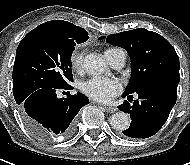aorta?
Instances as JSON below:
<instances>
[{
	"label": "aorta",
	"instance_id": "obj_1",
	"mask_svg": "<svg viewBox=\"0 0 190 165\" xmlns=\"http://www.w3.org/2000/svg\"><path fill=\"white\" fill-rule=\"evenodd\" d=\"M83 66L86 72L91 75L103 74L107 68L103 58L96 53L86 55ZM110 123L115 130L124 131L130 126V118L124 112H117L112 115Z\"/></svg>",
	"mask_w": 190,
	"mask_h": 165
}]
</instances>
